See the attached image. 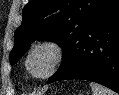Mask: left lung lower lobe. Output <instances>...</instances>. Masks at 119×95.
I'll list each match as a JSON object with an SVG mask.
<instances>
[{
    "instance_id": "1",
    "label": "left lung lower lobe",
    "mask_w": 119,
    "mask_h": 95,
    "mask_svg": "<svg viewBox=\"0 0 119 95\" xmlns=\"http://www.w3.org/2000/svg\"><path fill=\"white\" fill-rule=\"evenodd\" d=\"M83 79L119 93V0H114L80 39L73 64L48 83Z\"/></svg>"
}]
</instances>
